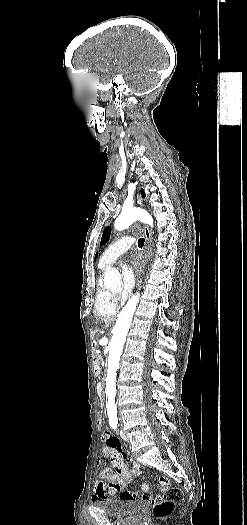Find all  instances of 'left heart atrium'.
Masks as SVG:
<instances>
[{
    "label": "left heart atrium",
    "instance_id": "left-heart-atrium-1",
    "mask_svg": "<svg viewBox=\"0 0 247 525\" xmlns=\"http://www.w3.org/2000/svg\"><path fill=\"white\" fill-rule=\"evenodd\" d=\"M128 259L130 268L122 272L123 284L119 291L120 299H125L129 295L135 283V273H141L147 262V257L139 251L131 252Z\"/></svg>",
    "mask_w": 247,
    "mask_h": 525
}]
</instances>
